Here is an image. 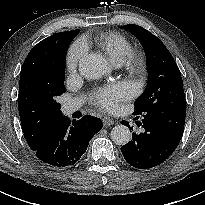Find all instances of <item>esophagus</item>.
Listing matches in <instances>:
<instances>
[{"instance_id":"1","label":"esophagus","mask_w":205,"mask_h":205,"mask_svg":"<svg viewBox=\"0 0 205 205\" xmlns=\"http://www.w3.org/2000/svg\"><path fill=\"white\" fill-rule=\"evenodd\" d=\"M102 123H103V126H110V125H113L115 122L110 119L109 117H103L102 118Z\"/></svg>"}]
</instances>
